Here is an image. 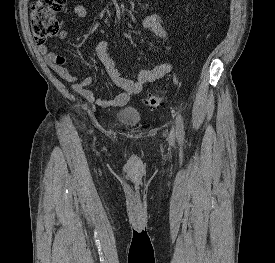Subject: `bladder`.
<instances>
[{
  "label": "bladder",
  "mask_w": 275,
  "mask_h": 263,
  "mask_svg": "<svg viewBox=\"0 0 275 263\" xmlns=\"http://www.w3.org/2000/svg\"><path fill=\"white\" fill-rule=\"evenodd\" d=\"M117 119L127 126H135L141 122L142 116L136 108L127 106L118 111Z\"/></svg>",
  "instance_id": "1"
}]
</instances>
